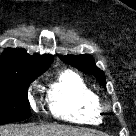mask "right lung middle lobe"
I'll use <instances>...</instances> for the list:
<instances>
[{"label": "right lung middle lobe", "instance_id": "obj_1", "mask_svg": "<svg viewBox=\"0 0 136 136\" xmlns=\"http://www.w3.org/2000/svg\"><path fill=\"white\" fill-rule=\"evenodd\" d=\"M36 77L38 75L0 78V125L30 117L27 90Z\"/></svg>", "mask_w": 136, "mask_h": 136}]
</instances>
